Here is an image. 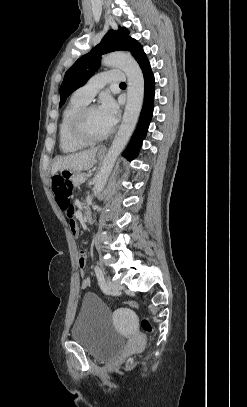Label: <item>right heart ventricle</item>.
Masks as SVG:
<instances>
[{"mask_svg": "<svg viewBox=\"0 0 247 407\" xmlns=\"http://www.w3.org/2000/svg\"><path fill=\"white\" fill-rule=\"evenodd\" d=\"M86 102L72 97L64 107L58 126L59 147L63 153H75L82 150L86 145L76 140L71 131V124L75 114Z\"/></svg>", "mask_w": 247, "mask_h": 407, "instance_id": "e07e8e85", "label": "right heart ventricle"}]
</instances>
